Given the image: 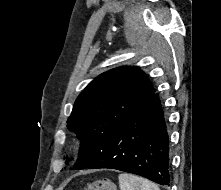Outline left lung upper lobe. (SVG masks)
I'll return each instance as SVG.
<instances>
[{
	"label": "left lung upper lobe",
	"mask_w": 221,
	"mask_h": 190,
	"mask_svg": "<svg viewBox=\"0 0 221 190\" xmlns=\"http://www.w3.org/2000/svg\"><path fill=\"white\" fill-rule=\"evenodd\" d=\"M154 93L151 82L138 67H119L89 83L76 99L67 120L68 129L75 132L81 142L76 168H88L118 127Z\"/></svg>",
	"instance_id": "5c2ea615"
}]
</instances>
